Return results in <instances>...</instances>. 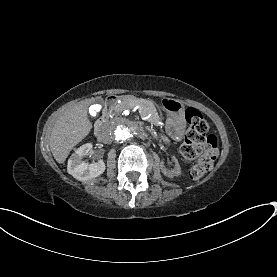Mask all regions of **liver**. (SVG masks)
<instances>
[{"instance_id": "obj_1", "label": "liver", "mask_w": 277, "mask_h": 277, "mask_svg": "<svg viewBox=\"0 0 277 277\" xmlns=\"http://www.w3.org/2000/svg\"><path fill=\"white\" fill-rule=\"evenodd\" d=\"M95 98L86 99L73 106L56 121L50 136V150L58 163H64L72 148L91 131L87 117L88 107Z\"/></svg>"}]
</instances>
